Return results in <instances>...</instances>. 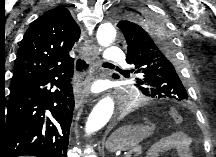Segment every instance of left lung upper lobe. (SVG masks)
<instances>
[{
	"instance_id": "obj_1",
	"label": "left lung upper lobe",
	"mask_w": 216,
	"mask_h": 157,
	"mask_svg": "<svg viewBox=\"0 0 216 157\" xmlns=\"http://www.w3.org/2000/svg\"><path fill=\"white\" fill-rule=\"evenodd\" d=\"M140 5L119 7L114 18L118 21L126 61L138 89L146 96L162 100H188L189 96L179 76V64L172 51L170 31L163 19Z\"/></svg>"
}]
</instances>
